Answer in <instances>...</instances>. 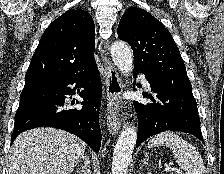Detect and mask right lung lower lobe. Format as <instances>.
<instances>
[{
    "instance_id": "obj_1",
    "label": "right lung lower lobe",
    "mask_w": 224,
    "mask_h": 174,
    "mask_svg": "<svg viewBox=\"0 0 224 174\" xmlns=\"http://www.w3.org/2000/svg\"><path fill=\"white\" fill-rule=\"evenodd\" d=\"M79 88L84 90L80 92ZM76 89L84 99L81 109L70 108L66 100L68 96L75 95ZM101 96V78L96 64L80 72L25 83L15 115L11 143L23 131L54 127L77 135L98 152L101 145Z\"/></svg>"
}]
</instances>
